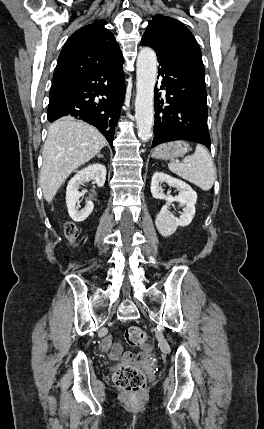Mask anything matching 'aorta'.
Here are the masks:
<instances>
[{
    "instance_id": "obj_1",
    "label": "aorta",
    "mask_w": 264,
    "mask_h": 429,
    "mask_svg": "<svg viewBox=\"0 0 264 429\" xmlns=\"http://www.w3.org/2000/svg\"><path fill=\"white\" fill-rule=\"evenodd\" d=\"M135 118L139 138L146 142L152 136L154 121V87L157 57L153 49L144 47L137 57Z\"/></svg>"
}]
</instances>
